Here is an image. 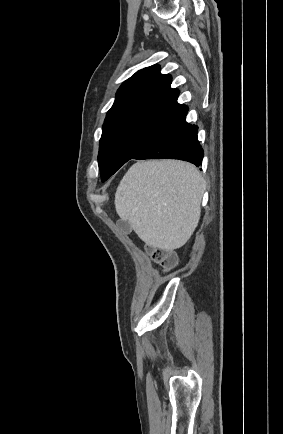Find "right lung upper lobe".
I'll return each mask as SVG.
<instances>
[{
  "instance_id": "cb5924a9",
  "label": "right lung upper lobe",
  "mask_w": 283,
  "mask_h": 434,
  "mask_svg": "<svg viewBox=\"0 0 283 434\" xmlns=\"http://www.w3.org/2000/svg\"><path fill=\"white\" fill-rule=\"evenodd\" d=\"M171 81L170 75L160 73L159 65L139 70L120 86L105 121L133 114L173 121L186 116L188 107L177 103L179 90L170 87Z\"/></svg>"
}]
</instances>
